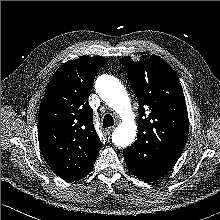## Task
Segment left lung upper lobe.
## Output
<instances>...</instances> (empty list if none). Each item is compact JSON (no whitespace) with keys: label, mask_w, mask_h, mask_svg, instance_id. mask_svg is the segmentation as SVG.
I'll use <instances>...</instances> for the list:
<instances>
[{"label":"left lung upper lobe","mask_w":220,"mask_h":220,"mask_svg":"<svg viewBox=\"0 0 220 220\" xmlns=\"http://www.w3.org/2000/svg\"><path fill=\"white\" fill-rule=\"evenodd\" d=\"M128 79L139 102L138 135L130 146L140 164L171 169L187 142L189 124L185 97L172 67L156 55L134 62L123 57Z\"/></svg>","instance_id":"left-lung-upper-lobe-1"}]
</instances>
